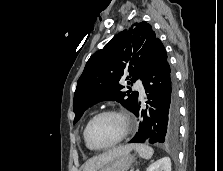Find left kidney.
Masks as SVG:
<instances>
[{
    "label": "left kidney",
    "instance_id": "5707ae66",
    "mask_svg": "<svg viewBox=\"0 0 223 171\" xmlns=\"http://www.w3.org/2000/svg\"><path fill=\"white\" fill-rule=\"evenodd\" d=\"M146 171H171V160L169 157H163L152 163Z\"/></svg>",
    "mask_w": 223,
    "mask_h": 171
}]
</instances>
